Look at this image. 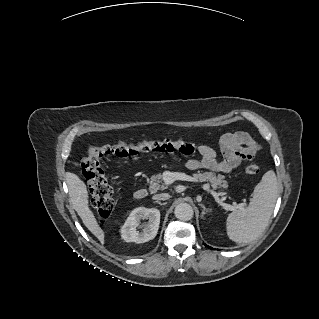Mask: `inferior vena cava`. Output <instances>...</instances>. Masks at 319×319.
I'll return each mask as SVG.
<instances>
[{"label": "inferior vena cava", "mask_w": 319, "mask_h": 319, "mask_svg": "<svg viewBox=\"0 0 319 319\" xmlns=\"http://www.w3.org/2000/svg\"><path fill=\"white\" fill-rule=\"evenodd\" d=\"M152 198L153 200H156L158 202L160 200H168L170 198V195L168 193H161L154 195Z\"/></svg>", "instance_id": "1"}]
</instances>
